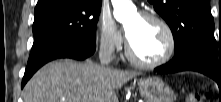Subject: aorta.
I'll list each match as a JSON object with an SVG mask.
<instances>
[{
	"instance_id": "obj_1",
	"label": "aorta",
	"mask_w": 221,
	"mask_h": 102,
	"mask_svg": "<svg viewBox=\"0 0 221 102\" xmlns=\"http://www.w3.org/2000/svg\"><path fill=\"white\" fill-rule=\"evenodd\" d=\"M114 8L113 14L117 21L124 22L136 12L131 0H111Z\"/></svg>"
}]
</instances>
